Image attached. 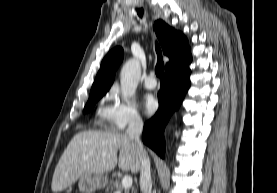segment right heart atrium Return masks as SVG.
Segmentation results:
<instances>
[{
    "mask_svg": "<svg viewBox=\"0 0 277 193\" xmlns=\"http://www.w3.org/2000/svg\"><path fill=\"white\" fill-rule=\"evenodd\" d=\"M113 96H115V103L111 107L107 122L114 130L122 131L142 124V116L134 103L118 96L116 92H113Z\"/></svg>",
    "mask_w": 277,
    "mask_h": 193,
    "instance_id": "obj_1",
    "label": "right heart atrium"
}]
</instances>
